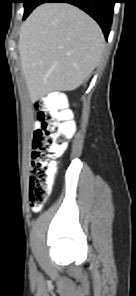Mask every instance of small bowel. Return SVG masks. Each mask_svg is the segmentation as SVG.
I'll return each instance as SVG.
<instances>
[{
	"mask_svg": "<svg viewBox=\"0 0 136 296\" xmlns=\"http://www.w3.org/2000/svg\"><path fill=\"white\" fill-rule=\"evenodd\" d=\"M36 126H37V124H36ZM34 210V209H33ZM38 210H40V208H38V209H36V210H34V211H38Z\"/></svg>",
	"mask_w": 136,
	"mask_h": 296,
	"instance_id": "obj_1",
	"label": "small bowel"
}]
</instances>
